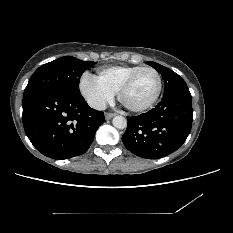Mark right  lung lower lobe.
I'll return each mask as SVG.
<instances>
[{
  "instance_id": "right-lung-lower-lobe-1",
  "label": "right lung lower lobe",
  "mask_w": 233,
  "mask_h": 233,
  "mask_svg": "<svg viewBox=\"0 0 233 233\" xmlns=\"http://www.w3.org/2000/svg\"><path fill=\"white\" fill-rule=\"evenodd\" d=\"M23 126L33 146L52 159L85 153L104 113L88 106L81 94L41 90L23 96Z\"/></svg>"
}]
</instances>
